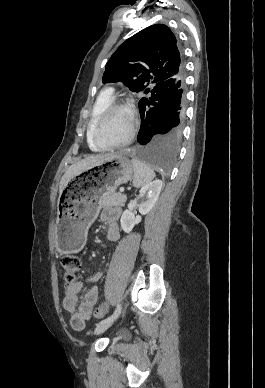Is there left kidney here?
Masks as SVG:
<instances>
[{"instance_id":"left-kidney-1","label":"left kidney","mask_w":265,"mask_h":388,"mask_svg":"<svg viewBox=\"0 0 265 388\" xmlns=\"http://www.w3.org/2000/svg\"><path fill=\"white\" fill-rule=\"evenodd\" d=\"M161 188V180H154V182L146 184V186H143V188L139 190L138 200L140 204H138V208L142 216L149 214L150 210H152L153 206H155L157 198H159ZM141 220V216H135L132 210H124L121 216V228L124 232H126V234H129V232L133 230L134 226L139 224Z\"/></svg>"}]
</instances>
